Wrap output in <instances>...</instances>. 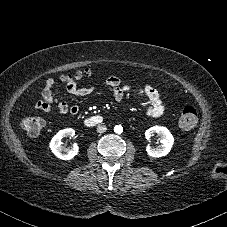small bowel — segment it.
Listing matches in <instances>:
<instances>
[{
  "label": "small bowel",
  "instance_id": "obj_1",
  "mask_svg": "<svg viewBox=\"0 0 227 227\" xmlns=\"http://www.w3.org/2000/svg\"><path fill=\"white\" fill-rule=\"evenodd\" d=\"M106 86L112 91L113 96L117 101L122 100L127 92H132L139 97L145 98V112L149 117L157 118L164 113L165 106L161 99L160 92L155 86L150 84H145L143 86L122 84L120 78L117 76L109 77L106 80ZM54 87L55 81L51 78L47 79L43 85L41 96L35 104L36 109L45 112L57 110L60 115H77L79 113V106H69L66 102L59 101L54 94ZM69 91L75 96H86L93 93L94 87L73 86Z\"/></svg>",
  "mask_w": 227,
  "mask_h": 227
}]
</instances>
